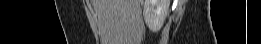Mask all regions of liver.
<instances>
[{
	"label": "liver",
	"instance_id": "1",
	"mask_svg": "<svg viewBox=\"0 0 261 44\" xmlns=\"http://www.w3.org/2000/svg\"><path fill=\"white\" fill-rule=\"evenodd\" d=\"M140 0H92L102 44L141 42Z\"/></svg>",
	"mask_w": 261,
	"mask_h": 44
}]
</instances>
